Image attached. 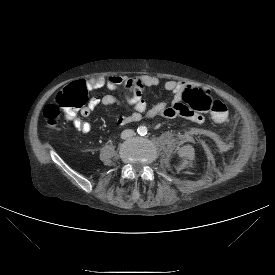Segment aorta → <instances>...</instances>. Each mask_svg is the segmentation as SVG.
<instances>
[{
	"mask_svg": "<svg viewBox=\"0 0 275 275\" xmlns=\"http://www.w3.org/2000/svg\"><path fill=\"white\" fill-rule=\"evenodd\" d=\"M137 131L140 135H145L147 133V128L145 126H139Z\"/></svg>",
	"mask_w": 275,
	"mask_h": 275,
	"instance_id": "1",
	"label": "aorta"
}]
</instances>
